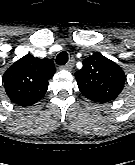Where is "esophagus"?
<instances>
[{"mask_svg":"<svg viewBox=\"0 0 135 165\" xmlns=\"http://www.w3.org/2000/svg\"><path fill=\"white\" fill-rule=\"evenodd\" d=\"M74 63H75L74 58L69 59V61L67 62V64L64 66L65 69L72 70V68L74 67Z\"/></svg>","mask_w":135,"mask_h":165,"instance_id":"1","label":"esophagus"}]
</instances>
